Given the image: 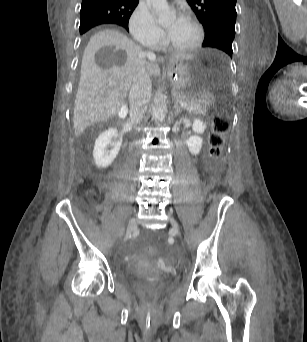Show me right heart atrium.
I'll list each match as a JSON object with an SVG mask.
<instances>
[{"label":"right heart atrium","instance_id":"obj_1","mask_svg":"<svg viewBox=\"0 0 307 342\" xmlns=\"http://www.w3.org/2000/svg\"><path fill=\"white\" fill-rule=\"evenodd\" d=\"M130 35L141 45L157 47L162 41V33L156 27L149 11L136 9L128 22Z\"/></svg>","mask_w":307,"mask_h":342}]
</instances>
